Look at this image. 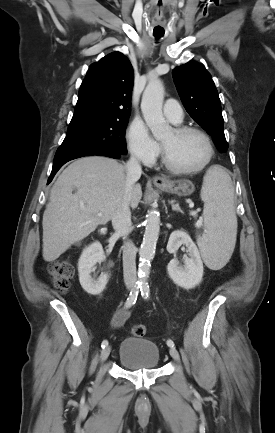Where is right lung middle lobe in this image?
<instances>
[{"label": "right lung middle lobe", "mask_w": 275, "mask_h": 433, "mask_svg": "<svg viewBox=\"0 0 275 433\" xmlns=\"http://www.w3.org/2000/svg\"><path fill=\"white\" fill-rule=\"evenodd\" d=\"M128 120L129 118L101 117L72 119L67 135L55 157L95 150H111L122 155L127 154L124 133Z\"/></svg>", "instance_id": "obj_1"}]
</instances>
